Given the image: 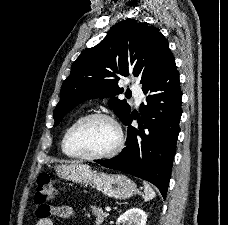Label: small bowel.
<instances>
[{
    "instance_id": "1",
    "label": "small bowel",
    "mask_w": 228,
    "mask_h": 225,
    "mask_svg": "<svg viewBox=\"0 0 228 225\" xmlns=\"http://www.w3.org/2000/svg\"><path fill=\"white\" fill-rule=\"evenodd\" d=\"M51 207L55 217L68 219L73 216V210L69 206L59 205L58 203L40 204L41 212L38 213L40 219L36 222V225H54L53 218L50 217Z\"/></svg>"
}]
</instances>
